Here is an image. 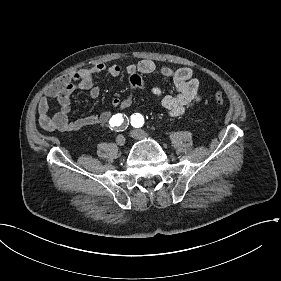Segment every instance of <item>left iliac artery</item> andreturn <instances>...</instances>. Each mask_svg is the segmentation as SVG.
Instances as JSON below:
<instances>
[{"instance_id": "obj_1", "label": "left iliac artery", "mask_w": 281, "mask_h": 281, "mask_svg": "<svg viewBox=\"0 0 281 281\" xmlns=\"http://www.w3.org/2000/svg\"><path fill=\"white\" fill-rule=\"evenodd\" d=\"M130 123L133 127L135 128H139L143 125L144 123V118L141 114L139 113H136V114H133L131 117H130Z\"/></svg>"}]
</instances>
